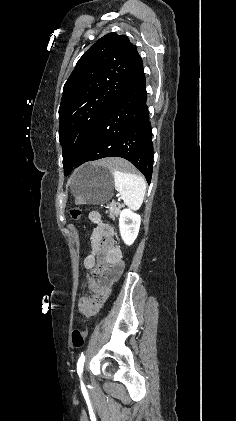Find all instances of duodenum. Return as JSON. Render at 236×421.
<instances>
[{"label":"duodenum","instance_id":"obj_1","mask_svg":"<svg viewBox=\"0 0 236 421\" xmlns=\"http://www.w3.org/2000/svg\"><path fill=\"white\" fill-rule=\"evenodd\" d=\"M96 257L98 258L97 287L90 298L84 299V306L90 314L97 312L106 301L110 287L122 271L121 253L112 243L102 244L97 253L92 256V260L94 261Z\"/></svg>","mask_w":236,"mask_h":421}]
</instances>
